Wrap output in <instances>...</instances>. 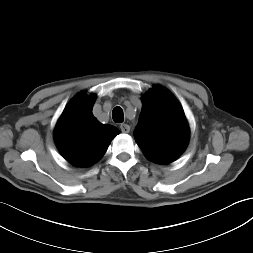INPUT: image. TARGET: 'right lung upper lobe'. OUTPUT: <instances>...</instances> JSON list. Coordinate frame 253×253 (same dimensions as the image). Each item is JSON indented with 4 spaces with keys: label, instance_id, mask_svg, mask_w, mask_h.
Masks as SVG:
<instances>
[{
    "label": "right lung upper lobe",
    "instance_id": "cb5924a9",
    "mask_svg": "<svg viewBox=\"0 0 253 253\" xmlns=\"http://www.w3.org/2000/svg\"><path fill=\"white\" fill-rule=\"evenodd\" d=\"M95 95L77 94L63 111L55 127V143L63 157L78 167H88L105 154L119 134L112 125L101 124L92 114Z\"/></svg>",
    "mask_w": 253,
    "mask_h": 253
}]
</instances>
